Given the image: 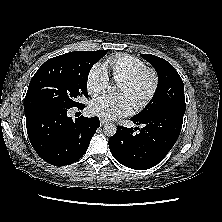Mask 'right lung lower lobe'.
Listing matches in <instances>:
<instances>
[{"label":"right lung lower lobe","instance_id":"1","mask_svg":"<svg viewBox=\"0 0 222 222\" xmlns=\"http://www.w3.org/2000/svg\"><path fill=\"white\" fill-rule=\"evenodd\" d=\"M68 109L44 106L25 112L27 133L34 150L44 161L55 166L80 159L100 126L98 117L81 116L74 121L67 116Z\"/></svg>","mask_w":222,"mask_h":222}]
</instances>
